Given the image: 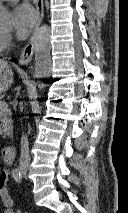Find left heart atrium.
<instances>
[{
    "instance_id": "1",
    "label": "left heart atrium",
    "mask_w": 128,
    "mask_h": 213,
    "mask_svg": "<svg viewBox=\"0 0 128 213\" xmlns=\"http://www.w3.org/2000/svg\"><path fill=\"white\" fill-rule=\"evenodd\" d=\"M13 31L20 40L25 39L36 22V14L28 4L17 5L12 12Z\"/></svg>"
}]
</instances>
